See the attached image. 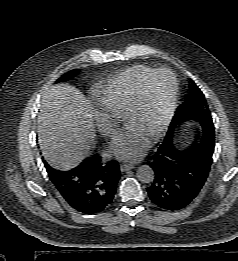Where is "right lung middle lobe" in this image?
Listing matches in <instances>:
<instances>
[{
    "instance_id": "1",
    "label": "right lung middle lobe",
    "mask_w": 238,
    "mask_h": 261,
    "mask_svg": "<svg viewBox=\"0 0 238 261\" xmlns=\"http://www.w3.org/2000/svg\"><path fill=\"white\" fill-rule=\"evenodd\" d=\"M75 73H76V71H71V72L67 73L66 75H64V76L60 79V81H65V80H67V79L72 78Z\"/></svg>"
}]
</instances>
